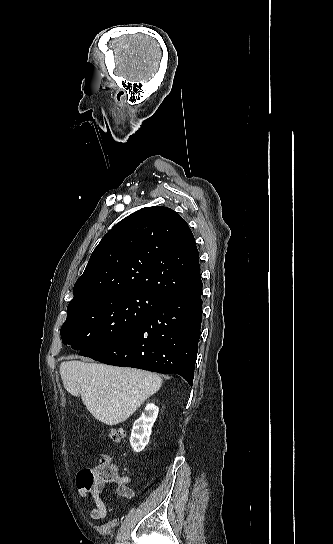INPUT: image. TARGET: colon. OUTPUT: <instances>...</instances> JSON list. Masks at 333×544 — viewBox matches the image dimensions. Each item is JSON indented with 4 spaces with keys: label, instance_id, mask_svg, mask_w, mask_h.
I'll list each match as a JSON object with an SVG mask.
<instances>
[{
    "label": "colon",
    "instance_id": "obj_1",
    "mask_svg": "<svg viewBox=\"0 0 333 544\" xmlns=\"http://www.w3.org/2000/svg\"><path fill=\"white\" fill-rule=\"evenodd\" d=\"M109 436L118 442L124 438L125 431L120 427H110ZM118 477L116 466L110 462L108 457H103L94 468L82 469L78 473V484L91 489L99 485L116 483Z\"/></svg>",
    "mask_w": 333,
    "mask_h": 544
}]
</instances>
